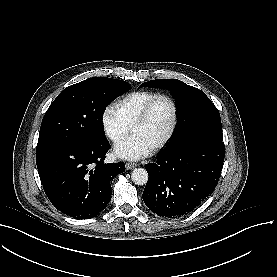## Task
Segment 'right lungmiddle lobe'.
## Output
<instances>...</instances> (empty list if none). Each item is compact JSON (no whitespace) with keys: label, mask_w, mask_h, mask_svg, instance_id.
Masks as SVG:
<instances>
[{"label":"right lung middle lobe","mask_w":277,"mask_h":277,"mask_svg":"<svg viewBox=\"0 0 277 277\" xmlns=\"http://www.w3.org/2000/svg\"><path fill=\"white\" fill-rule=\"evenodd\" d=\"M129 89L128 83L107 78H89L65 88L43 117L37 146L105 138L102 114Z\"/></svg>","instance_id":"1"}]
</instances>
